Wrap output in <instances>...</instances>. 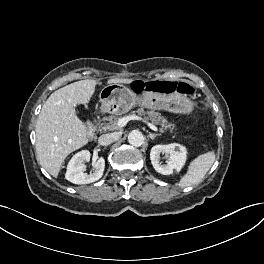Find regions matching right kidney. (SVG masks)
<instances>
[{
    "label": "right kidney",
    "instance_id": "1",
    "mask_svg": "<svg viewBox=\"0 0 264 264\" xmlns=\"http://www.w3.org/2000/svg\"><path fill=\"white\" fill-rule=\"evenodd\" d=\"M90 152L82 150L76 153L67 165V172L65 178L74 184H89L98 181L104 172L105 160L103 157L99 158L94 164L93 173L87 174L85 170V162L90 160Z\"/></svg>",
    "mask_w": 264,
    "mask_h": 264
}]
</instances>
